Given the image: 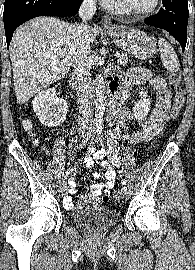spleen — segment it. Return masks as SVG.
Returning <instances> with one entry per match:
<instances>
[{
    "mask_svg": "<svg viewBox=\"0 0 195 270\" xmlns=\"http://www.w3.org/2000/svg\"><path fill=\"white\" fill-rule=\"evenodd\" d=\"M158 46L163 66L171 73L177 72L180 64L173 47L163 38H159Z\"/></svg>",
    "mask_w": 195,
    "mask_h": 270,
    "instance_id": "3e777b00",
    "label": "spleen"
}]
</instances>
